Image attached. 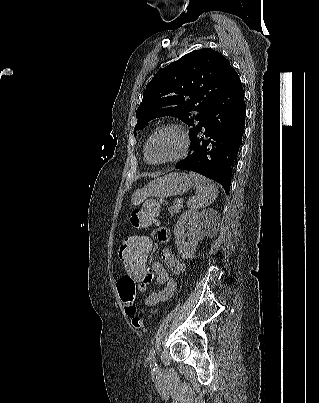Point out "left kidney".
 Here are the masks:
<instances>
[{"label":"left kidney","mask_w":319,"mask_h":403,"mask_svg":"<svg viewBox=\"0 0 319 403\" xmlns=\"http://www.w3.org/2000/svg\"><path fill=\"white\" fill-rule=\"evenodd\" d=\"M217 218V213L212 208L203 212L191 209L180 216L173 233L178 252L183 258H192L198 242L203 238L206 226L216 222ZM188 227L189 230L186 232Z\"/></svg>","instance_id":"left-kidney-1"}]
</instances>
